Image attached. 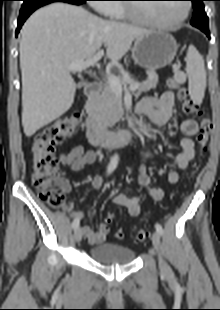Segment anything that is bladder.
<instances>
[{
	"instance_id": "31cf9c89",
	"label": "bladder",
	"mask_w": 220,
	"mask_h": 310,
	"mask_svg": "<svg viewBox=\"0 0 220 310\" xmlns=\"http://www.w3.org/2000/svg\"><path fill=\"white\" fill-rule=\"evenodd\" d=\"M90 257L100 264H129L135 257V251L116 243H103L89 250Z\"/></svg>"
}]
</instances>
